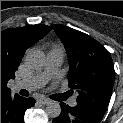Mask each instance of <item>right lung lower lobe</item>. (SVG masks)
Returning <instances> with one entry per match:
<instances>
[{"instance_id": "1", "label": "right lung lower lobe", "mask_w": 123, "mask_h": 123, "mask_svg": "<svg viewBox=\"0 0 123 123\" xmlns=\"http://www.w3.org/2000/svg\"><path fill=\"white\" fill-rule=\"evenodd\" d=\"M34 104L35 99L24 98L18 94L1 99V123H24L26 109Z\"/></svg>"}]
</instances>
